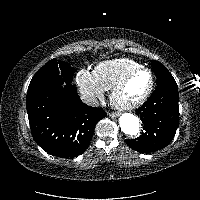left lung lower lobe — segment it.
<instances>
[{
	"instance_id": "obj_1",
	"label": "left lung lower lobe",
	"mask_w": 200,
	"mask_h": 200,
	"mask_svg": "<svg viewBox=\"0 0 200 200\" xmlns=\"http://www.w3.org/2000/svg\"><path fill=\"white\" fill-rule=\"evenodd\" d=\"M177 84H160L136 114L143 131L135 139L125 140L135 151L150 153L163 149L173 140L179 125Z\"/></svg>"
}]
</instances>
